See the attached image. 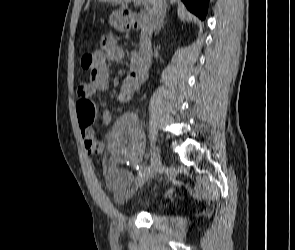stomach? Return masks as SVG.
I'll return each instance as SVG.
<instances>
[{
    "instance_id": "stomach-1",
    "label": "stomach",
    "mask_w": 295,
    "mask_h": 250,
    "mask_svg": "<svg viewBox=\"0 0 295 250\" xmlns=\"http://www.w3.org/2000/svg\"><path fill=\"white\" fill-rule=\"evenodd\" d=\"M110 24L118 31H124L128 25V19L122 12L116 11L110 17Z\"/></svg>"
}]
</instances>
